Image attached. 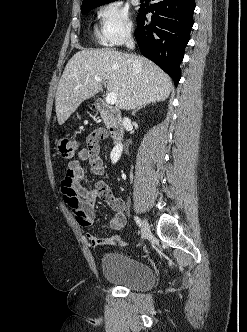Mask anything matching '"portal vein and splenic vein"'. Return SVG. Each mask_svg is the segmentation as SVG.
Returning <instances> with one entry per match:
<instances>
[{
    "mask_svg": "<svg viewBox=\"0 0 247 332\" xmlns=\"http://www.w3.org/2000/svg\"><path fill=\"white\" fill-rule=\"evenodd\" d=\"M95 81L102 83V80L100 78H95ZM117 101V96L114 92H110L106 96V102L110 105H114Z\"/></svg>",
    "mask_w": 247,
    "mask_h": 332,
    "instance_id": "18ae733b",
    "label": "portal vein and splenic vein"
}]
</instances>
